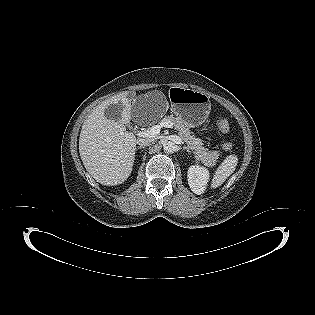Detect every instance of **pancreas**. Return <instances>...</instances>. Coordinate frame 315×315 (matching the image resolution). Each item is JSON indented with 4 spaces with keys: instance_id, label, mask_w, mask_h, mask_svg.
Masks as SVG:
<instances>
[{
    "instance_id": "cf45deb5",
    "label": "pancreas",
    "mask_w": 315,
    "mask_h": 315,
    "mask_svg": "<svg viewBox=\"0 0 315 315\" xmlns=\"http://www.w3.org/2000/svg\"><path fill=\"white\" fill-rule=\"evenodd\" d=\"M161 121H169L173 123L175 129L178 131V135L187 144V148L193 151L195 157L200 159L204 165L212 167L216 164L220 153L205 148L203 146V141L200 138H196L193 133L190 132V129L180 117L165 116Z\"/></svg>"
}]
</instances>
